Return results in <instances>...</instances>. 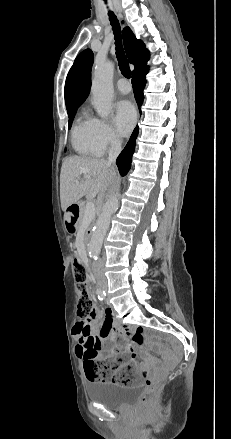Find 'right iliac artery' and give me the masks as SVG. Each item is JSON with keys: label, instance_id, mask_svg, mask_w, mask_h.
I'll return each mask as SVG.
<instances>
[{"label": "right iliac artery", "instance_id": "82829eb1", "mask_svg": "<svg viewBox=\"0 0 231 439\" xmlns=\"http://www.w3.org/2000/svg\"><path fill=\"white\" fill-rule=\"evenodd\" d=\"M99 300H103L106 297V293L103 289H97L96 291Z\"/></svg>", "mask_w": 231, "mask_h": 439}]
</instances>
